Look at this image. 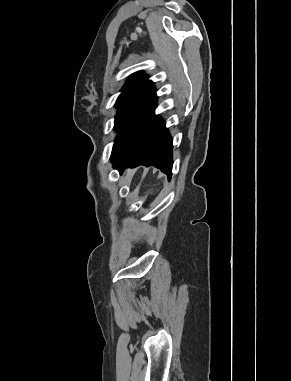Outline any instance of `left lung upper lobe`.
Returning a JSON list of instances; mask_svg holds the SVG:
<instances>
[{"instance_id": "obj_1", "label": "left lung upper lobe", "mask_w": 291, "mask_h": 381, "mask_svg": "<svg viewBox=\"0 0 291 381\" xmlns=\"http://www.w3.org/2000/svg\"><path fill=\"white\" fill-rule=\"evenodd\" d=\"M148 75L141 72L131 75L122 88L116 106L118 113L115 117L114 129L118 131L114 147L126 134L147 104L155 97L156 89Z\"/></svg>"}]
</instances>
